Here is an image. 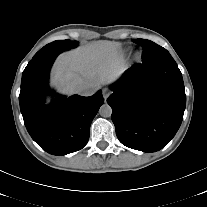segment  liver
<instances>
[{"mask_svg":"<svg viewBox=\"0 0 207 207\" xmlns=\"http://www.w3.org/2000/svg\"><path fill=\"white\" fill-rule=\"evenodd\" d=\"M120 44L100 40L87 43L76 50L61 54L52 69V83L61 91L76 93L81 83L97 89L124 69Z\"/></svg>","mask_w":207,"mask_h":207,"instance_id":"obj_1","label":"liver"}]
</instances>
